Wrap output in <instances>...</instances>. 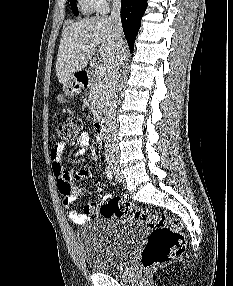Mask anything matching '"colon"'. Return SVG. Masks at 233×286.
Returning <instances> with one entry per match:
<instances>
[{
    "label": "colon",
    "mask_w": 233,
    "mask_h": 286,
    "mask_svg": "<svg viewBox=\"0 0 233 286\" xmlns=\"http://www.w3.org/2000/svg\"><path fill=\"white\" fill-rule=\"evenodd\" d=\"M81 128V119L73 117L57 124L56 136L65 143H73L79 138ZM99 211L105 218L141 220L151 230L141 255V263L145 270H151L174 260L186 246L182 223L174 216L150 208L140 209L118 198L106 200Z\"/></svg>",
    "instance_id": "obj_1"
}]
</instances>
